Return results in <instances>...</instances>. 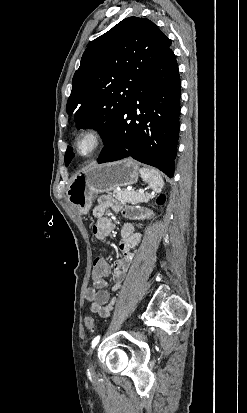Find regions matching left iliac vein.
<instances>
[{"label":"left iliac vein","mask_w":247,"mask_h":413,"mask_svg":"<svg viewBox=\"0 0 247 413\" xmlns=\"http://www.w3.org/2000/svg\"><path fill=\"white\" fill-rule=\"evenodd\" d=\"M92 353L90 354L89 362H88V367L91 373H94V364H93V359H92Z\"/></svg>","instance_id":"1"}]
</instances>
